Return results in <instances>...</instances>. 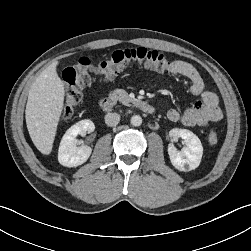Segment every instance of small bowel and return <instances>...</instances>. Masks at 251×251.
Masks as SVG:
<instances>
[{
    "label": "small bowel",
    "instance_id": "obj_1",
    "mask_svg": "<svg viewBox=\"0 0 251 251\" xmlns=\"http://www.w3.org/2000/svg\"><path fill=\"white\" fill-rule=\"evenodd\" d=\"M172 74L181 75L190 80V92L193 96L200 97L183 112L170 109L167 118L172 122H181L188 127H206L212 122L222 118V112L218 106V97L215 93L206 91L204 81L197 69L185 61H174L170 70Z\"/></svg>",
    "mask_w": 251,
    "mask_h": 251
}]
</instances>
